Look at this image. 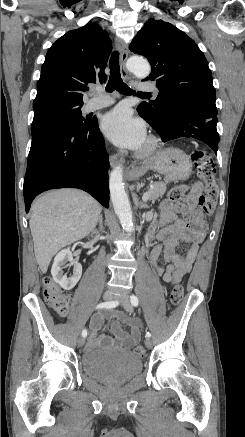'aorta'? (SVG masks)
<instances>
[{"label":"aorta","instance_id":"1","mask_svg":"<svg viewBox=\"0 0 245 437\" xmlns=\"http://www.w3.org/2000/svg\"><path fill=\"white\" fill-rule=\"evenodd\" d=\"M128 70L138 78H145L150 73L148 61L142 57L134 56L127 61ZM122 167H115L110 173L109 188L114 211L119 218L120 224L127 232H132L133 219L132 212L123 185Z\"/></svg>","mask_w":245,"mask_h":437}]
</instances>
